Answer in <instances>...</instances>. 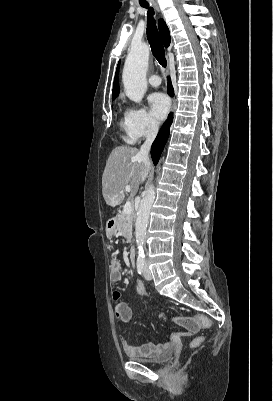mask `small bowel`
Masks as SVG:
<instances>
[{"label":"small bowel","instance_id":"c3829d8e","mask_svg":"<svg viewBox=\"0 0 273 401\" xmlns=\"http://www.w3.org/2000/svg\"><path fill=\"white\" fill-rule=\"evenodd\" d=\"M109 279L111 282H118L121 279V262L118 259H113L109 266ZM116 311L121 313V320L119 322L126 324L133 320V313L130 307L124 302L115 304ZM174 321H185L184 317L174 319ZM172 338H190V331H172ZM123 349L133 357L137 356H155L163 349L169 346V342L161 343L155 346H133L125 339L122 340Z\"/></svg>","mask_w":273,"mask_h":401}]
</instances>
